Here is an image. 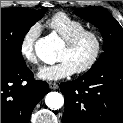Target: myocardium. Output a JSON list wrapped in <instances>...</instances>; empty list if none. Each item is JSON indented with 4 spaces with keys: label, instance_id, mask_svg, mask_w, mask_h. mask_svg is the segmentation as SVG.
<instances>
[{
    "label": "myocardium",
    "instance_id": "1",
    "mask_svg": "<svg viewBox=\"0 0 123 123\" xmlns=\"http://www.w3.org/2000/svg\"><path fill=\"white\" fill-rule=\"evenodd\" d=\"M85 37L92 38L94 42V50L92 56L87 61V63L75 70V72L79 74L85 73L94 67L101 55L103 47V40L101 35L95 30L86 28L81 31H78L77 33L73 34L68 39H66L65 46L67 48H73L81 39Z\"/></svg>",
    "mask_w": 123,
    "mask_h": 123
}]
</instances>
